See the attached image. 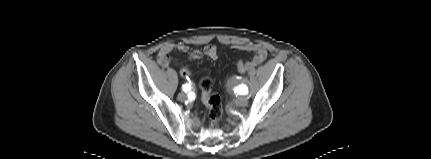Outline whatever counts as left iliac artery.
Returning <instances> with one entry per match:
<instances>
[{
  "label": "left iliac artery",
  "instance_id": "left-iliac-artery-1",
  "mask_svg": "<svg viewBox=\"0 0 431 159\" xmlns=\"http://www.w3.org/2000/svg\"><path fill=\"white\" fill-rule=\"evenodd\" d=\"M238 89L240 90V92H239L240 94H247L248 93V89L245 85H241Z\"/></svg>",
  "mask_w": 431,
  "mask_h": 159
}]
</instances>
